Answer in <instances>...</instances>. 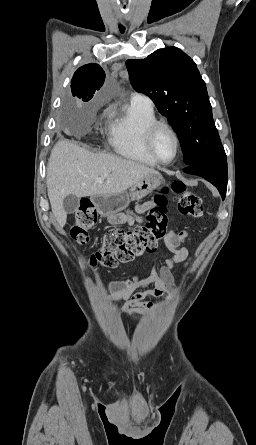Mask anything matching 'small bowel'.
Returning a JSON list of instances; mask_svg holds the SVG:
<instances>
[{
    "mask_svg": "<svg viewBox=\"0 0 256 445\" xmlns=\"http://www.w3.org/2000/svg\"><path fill=\"white\" fill-rule=\"evenodd\" d=\"M153 207V202H145L136 207V213H142ZM140 221L136 215H130L124 222L131 226L134 222ZM190 235L186 231L176 232L170 230L167 235V248L172 252V256L160 260L150 273L143 278L133 277L124 281H113L109 284L111 299L123 301L122 310L128 315L147 314L159 308L158 305L145 301L147 295L164 297L170 299L175 293V283L171 270L177 264H184L186 267L192 260L189 251L182 246L185 241H190ZM153 286V289L141 291L134 294L136 290H145Z\"/></svg>",
    "mask_w": 256,
    "mask_h": 445,
    "instance_id": "small-bowel-1",
    "label": "small bowel"
}]
</instances>
